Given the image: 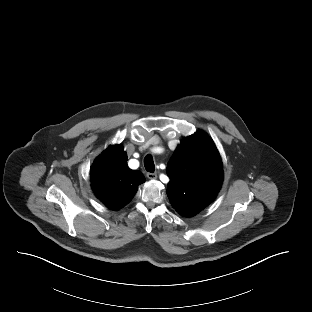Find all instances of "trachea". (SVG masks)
<instances>
[{
	"label": "trachea",
	"instance_id": "1",
	"mask_svg": "<svg viewBox=\"0 0 312 312\" xmlns=\"http://www.w3.org/2000/svg\"><path fill=\"white\" fill-rule=\"evenodd\" d=\"M144 166L148 172H150V173L154 172L155 165H154L153 157L150 154L145 157Z\"/></svg>",
	"mask_w": 312,
	"mask_h": 312
}]
</instances>
